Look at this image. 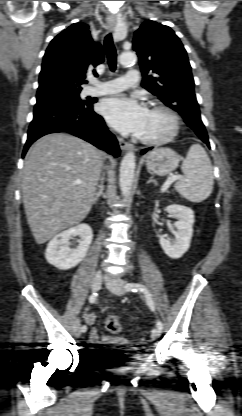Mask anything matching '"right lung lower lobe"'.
<instances>
[{
  "label": "right lung lower lobe",
  "mask_w": 242,
  "mask_h": 416,
  "mask_svg": "<svg viewBox=\"0 0 242 416\" xmlns=\"http://www.w3.org/2000/svg\"><path fill=\"white\" fill-rule=\"evenodd\" d=\"M93 103L66 98L37 100L23 156L38 138L49 133L68 132L117 157L120 153L118 142L103 118L93 111Z\"/></svg>",
  "instance_id": "98d812e1"
}]
</instances>
